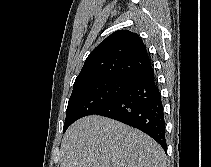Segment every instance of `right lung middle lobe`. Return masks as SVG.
I'll use <instances>...</instances> for the list:
<instances>
[{
  "label": "right lung middle lobe",
  "mask_w": 211,
  "mask_h": 167,
  "mask_svg": "<svg viewBox=\"0 0 211 167\" xmlns=\"http://www.w3.org/2000/svg\"><path fill=\"white\" fill-rule=\"evenodd\" d=\"M130 86L128 77H104L73 87L67 106L65 130L77 119L94 114Z\"/></svg>",
  "instance_id": "right-lung-middle-lobe-1"
}]
</instances>
